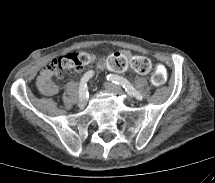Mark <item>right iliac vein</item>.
Returning <instances> with one entry per match:
<instances>
[{
	"label": "right iliac vein",
	"mask_w": 215,
	"mask_h": 183,
	"mask_svg": "<svg viewBox=\"0 0 215 183\" xmlns=\"http://www.w3.org/2000/svg\"><path fill=\"white\" fill-rule=\"evenodd\" d=\"M86 103H87L86 99L82 98V99L79 100L78 105H79V107L83 108V107H85Z\"/></svg>",
	"instance_id": "right-iliac-vein-1"
}]
</instances>
